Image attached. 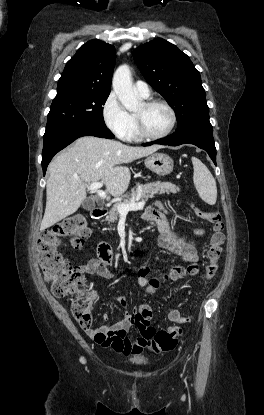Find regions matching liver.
<instances>
[{"instance_id":"1","label":"liver","mask_w":264,"mask_h":415,"mask_svg":"<svg viewBox=\"0 0 264 415\" xmlns=\"http://www.w3.org/2000/svg\"><path fill=\"white\" fill-rule=\"evenodd\" d=\"M160 148L159 145L134 147L93 136L77 139L49 164L41 230L75 213L86 199L90 183L101 181L112 196H122L131 179L129 168L122 164L153 154Z\"/></svg>"}]
</instances>
